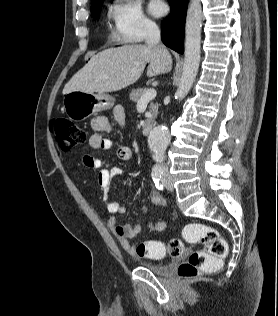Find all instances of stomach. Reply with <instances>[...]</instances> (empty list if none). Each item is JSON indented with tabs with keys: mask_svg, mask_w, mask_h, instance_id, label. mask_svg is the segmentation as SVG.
<instances>
[{
	"mask_svg": "<svg viewBox=\"0 0 278 316\" xmlns=\"http://www.w3.org/2000/svg\"><path fill=\"white\" fill-rule=\"evenodd\" d=\"M114 101L108 94L72 91L63 98V110L69 119L81 121L99 111L111 109Z\"/></svg>",
	"mask_w": 278,
	"mask_h": 316,
	"instance_id": "0dacf381",
	"label": "stomach"
}]
</instances>
